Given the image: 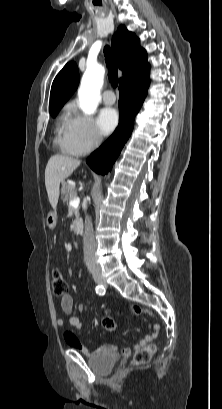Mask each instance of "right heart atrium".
<instances>
[{"mask_svg":"<svg viewBox=\"0 0 222 409\" xmlns=\"http://www.w3.org/2000/svg\"><path fill=\"white\" fill-rule=\"evenodd\" d=\"M67 133L80 154L92 152L102 143V136L93 119L74 107L68 113Z\"/></svg>","mask_w":222,"mask_h":409,"instance_id":"obj_1","label":"right heart atrium"}]
</instances>
